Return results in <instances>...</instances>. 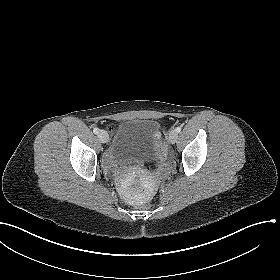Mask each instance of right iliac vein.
<instances>
[{
  "mask_svg": "<svg viewBox=\"0 0 280 280\" xmlns=\"http://www.w3.org/2000/svg\"><path fill=\"white\" fill-rule=\"evenodd\" d=\"M98 137L101 140L102 143H107L108 141V134L106 131L104 130H100V132L98 133Z\"/></svg>",
  "mask_w": 280,
  "mask_h": 280,
  "instance_id": "obj_1",
  "label": "right iliac vein"
}]
</instances>
